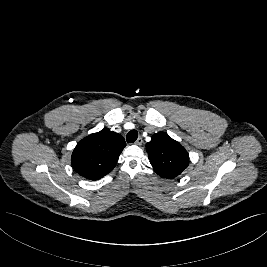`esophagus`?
I'll list each match as a JSON object with an SVG mask.
<instances>
[{
  "label": "esophagus",
  "mask_w": 267,
  "mask_h": 267,
  "mask_svg": "<svg viewBox=\"0 0 267 267\" xmlns=\"http://www.w3.org/2000/svg\"><path fill=\"white\" fill-rule=\"evenodd\" d=\"M142 143H143V139L141 138V137H139L136 141H135V144L136 145H142Z\"/></svg>",
  "instance_id": "34e87169"
}]
</instances>
